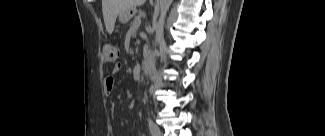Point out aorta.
I'll list each match as a JSON object with an SVG mask.
<instances>
[{
  "label": "aorta",
  "mask_w": 325,
  "mask_h": 136,
  "mask_svg": "<svg viewBox=\"0 0 325 136\" xmlns=\"http://www.w3.org/2000/svg\"><path fill=\"white\" fill-rule=\"evenodd\" d=\"M171 3H172V0H160L159 1L158 19L154 23V29L156 31L155 41H154L155 51H156V46L160 42V39L163 35L165 18H166V14H167V11L169 10Z\"/></svg>",
  "instance_id": "aorta-1"
}]
</instances>
